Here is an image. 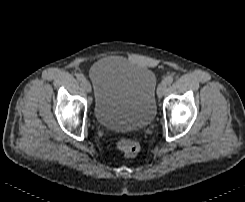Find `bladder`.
<instances>
[{
	"label": "bladder",
	"mask_w": 245,
	"mask_h": 202,
	"mask_svg": "<svg viewBox=\"0 0 245 202\" xmlns=\"http://www.w3.org/2000/svg\"><path fill=\"white\" fill-rule=\"evenodd\" d=\"M93 115L106 129L130 132L148 127L156 115L157 78L154 72L118 59L95 64Z\"/></svg>",
	"instance_id": "1"
}]
</instances>
